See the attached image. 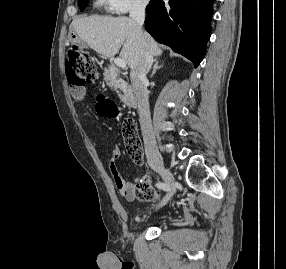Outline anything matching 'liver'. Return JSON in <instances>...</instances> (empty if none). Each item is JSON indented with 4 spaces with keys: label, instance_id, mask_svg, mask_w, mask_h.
Here are the masks:
<instances>
[{
    "label": "liver",
    "instance_id": "liver-1",
    "mask_svg": "<svg viewBox=\"0 0 286 269\" xmlns=\"http://www.w3.org/2000/svg\"><path fill=\"white\" fill-rule=\"evenodd\" d=\"M72 27L88 46L104 57H114L121 49L120 58L129 68L136 69L142 61L143 51L160 56L158 43L146 32H140L134 20L128 17L93 15L72 21Z\"/></svg>",
    "mask_w": 286,
    "mask_h": 269
}]
</instances>
